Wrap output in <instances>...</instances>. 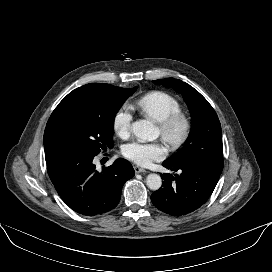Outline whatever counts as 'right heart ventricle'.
<instances>
[{
	"label": "right heart ventricle",
	"instance_id": "right-heart-ventricle-1",
	"mask_svg": "<svg viewBox=\"0 0 272 272\" xmlns=\"http://www.w3.org/2000/svg\"><path fill=\"white\" fill-rule=\"evenodd\" d=\"M133 106L158 123L181 110L180 102L173 95L164 91L149 92L139 98Z\"/></svg>",
	"mask_w": 272,
	"mask_h": 272
}]
</instances>
